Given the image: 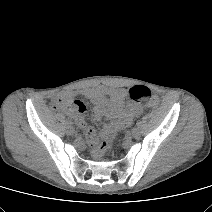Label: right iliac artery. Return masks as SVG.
Returning <instances> with one entry per match:
<instances>
[{
  "instance_id": "right-iliac-artery-1",
  "label": "right iliac artery",
  "mask_w": 212,
  "mask_h": 212,
  "mask_svg": "<svg viewBox=\"0 0 212 212\" xmlns=\"http://www.w3.org/2000/svg\"><path fill=\"white\" fill-rule=\"evenodd\" d=\"M67 124L71 125V124H72V122H71V121H69V120H67Z\"/></svg>"
}]
</instances>
